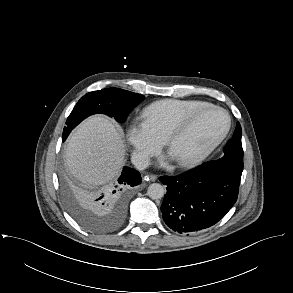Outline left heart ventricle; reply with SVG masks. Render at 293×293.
<instances>
[{
  "instance_id": "b2bd125f",
  "label": "left heart ventricle",
  "mask_w": 293,
  "mask_h": 293,
  "mask_svg": "<svg viewBox=\"0 0 293 293\" xmlns=\"http://www.w3.org/2000/svg\"><path fill=\"white\" fill-rule=\"evenodd\" d=\"M225 125L226 117L222 112L216 110L204 112L169 149V155L178 161L199 151L217 137Z\"/></svg>"
}]
</instances>
